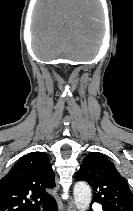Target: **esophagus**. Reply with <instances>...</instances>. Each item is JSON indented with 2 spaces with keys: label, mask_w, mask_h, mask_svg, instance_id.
I'll list each match as a JSON object with an SVG mask.
<instances>
[{
  "label": "esophagus",
  "mask_w": 133,
  "mask_h": 211,
  "mask_svg": "<svg viewBox=\"0 0 133 211\" xmlns=\"http://www.w3.org/2000/svg\"><path fill=\"white\" fill-rule=\"evenodd\" d=\"M66 209H67V211H76V207H75V205L73 204L72 201H69V202L67 203Z\"/></svg>",
  "instance_id": "34e87169"
}]
</instances>
